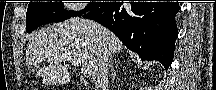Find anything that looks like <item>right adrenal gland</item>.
Returning a JSON list of instances; mask_svg holds the SVG:
<instances>
[{
	"label": "right adrenal gland",
	"instance_id": "obj_1",
	"mask_svg": "<svg viewBox=\"0 0 216 90\" xmlns=\"http://www.w3.org/2000/svg\"><path fill=\"white\" fill-rule=\"evenodd\" d=\"M110 70H111V78H112V82H114L115 80V76H116V72L114 70V66H112V64H110Z\"/></svg>",
	"mask_w": 216,
	"mask_h": 90
}]
</instances>
